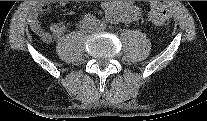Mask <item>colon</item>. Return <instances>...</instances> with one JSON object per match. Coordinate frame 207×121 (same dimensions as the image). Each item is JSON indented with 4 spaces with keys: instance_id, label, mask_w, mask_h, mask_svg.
Masks as SVG:
<instances>
[{
    "instance_id": "1",
    "label": "colon",
    "mask_w": 207,
    "mask_h": 121,
    "mask_svg": "<svg viewBox=\"0 0 207 121\" xmlns=\"http://www.w3.org/2000/svg\"><path fill=\"white\" fill-rule=\"evenodd\" d=\"M148 17L156 25H167L171 17L168 4L163 1L151 2L148 11Z\"/></svg>"
}]
</instances>
